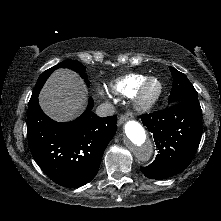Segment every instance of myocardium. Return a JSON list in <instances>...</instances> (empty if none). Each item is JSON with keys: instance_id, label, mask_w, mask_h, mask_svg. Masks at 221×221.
Returning a JSON list of instances; mask_svg holds the SVG:
<instances>
[{"instance_id": "1", "label": "myocardium", "mask_w": 221, "mask_h": 221, "mask_svg": "<svg viewBox=\"0 0 221 221\" xmlns=\"http://www.w3.org/2000/svg\"><path fill=\"white\" fill-rule=\"evenodd\" d=\"M157 84V90L153 94L148 93L149 86ZM163 93V84L156 77H148L134 93V107L137 111L147 112L153 109L159 102Z\"/></svg>"}]
</instances>
